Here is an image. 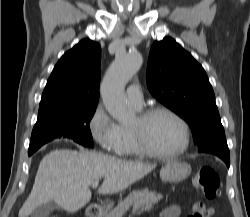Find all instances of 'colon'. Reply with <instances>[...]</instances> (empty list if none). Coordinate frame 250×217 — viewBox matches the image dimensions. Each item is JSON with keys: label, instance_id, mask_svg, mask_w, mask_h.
<instances>
[{"label": "colon", "instance_id": "5ec220e1", "mask_svg": "<svg viewBox=\"0 0 250 217\" xmlns=\"http://www.w3.org/2000/svg\"><path fill=\"white\" fill-rule=\"evenodd\" d=\"M193 187L208 199H215L219 195V177L210 166L200 167L192 177ZM209 208L202 202L193 206V214L189 217H204L209 213Z\"/></svg>", "mask_w": 250, "mask_h": 217}]
</instances>
